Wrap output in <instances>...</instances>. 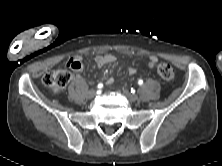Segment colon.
I'll use <instances>...</instances> for the list:
<instances>
[{
    "label": "colon",
    "mask_w": 222,
    "mask_h": 166,
    "mask_svg": "<svg viewBox=\"0 0 222 166\" xmlns=\"http://www.w3.org/2000/svg\"><path fill=\"white\" fill-rule=\"evenodd\" d=\"M150 67L155 69L157 74L164 81L171 82L174 79V68L170 64L152 60L150 62ZM70 80L71 73L66 69L51 70L42 78L44 85L49 87L55 93L62 91L69 84Z\"/></svg>",
    "instance_id": "5ec220e1"
}]
</instances>
